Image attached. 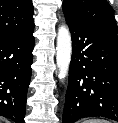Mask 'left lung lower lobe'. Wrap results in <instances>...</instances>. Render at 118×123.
<instances>
[{"mask_svg":"<svg viewBox=\"0 0 118 123\" xmlns=\"http://www.w3.org/2000/svg\"><path fill=\"white\" fill-rule=\"evenodd\" d=\"M72 59L62 123L101 116L118 122V35L66 21Z\"/></svg>","mask_w":118,"mask_h":123,"instance_id":"obj_1","label":"left lung lower lobe"}]
</instances>
